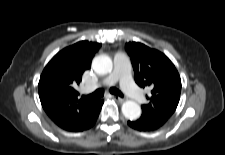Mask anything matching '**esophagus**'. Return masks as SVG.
I'll list each match as a JSON object with an SVG mask.
<instances>
[{
  "label": "esophagus",
  "mask_w": 225,
  "mask_h": 155,
  "mask_svg": "<svg viewBox=\"0 0 225 155\" xmlns=\"http://www.w3.org/2000/svg\"><path fill=\"white\" fill-rule=\"evenodd\" d=\"M112 97H113L116 101H118V102H120V103L124 102V99H123L122 97H119V96H117V95H113Z\"/></svg>",
  "instance_id": "esophagus-1"
}]
</instances>
